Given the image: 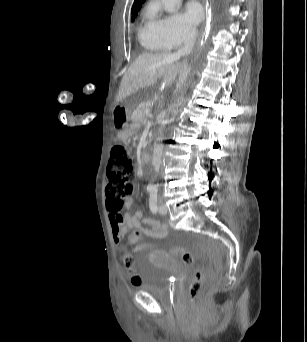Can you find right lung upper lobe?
I'll use <instances>...</instances> for the list:
<instances>
[{"label": "right lung upper lobe", "instance_id": "obj_1", "mask_svg": "<svg viewBox=\"0 0 307 342\" xmlns=\"http://www.w3.org/2000/svg\"><path fill=\"white\" fill-rule=\"evenodd\" d=\"M145 0H135L133 6H132V21L137 15V12L140 10L142 3H144Z\"/></svg>", "mask_w": 307, "mask_h": 342}]
</instances>
